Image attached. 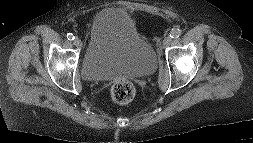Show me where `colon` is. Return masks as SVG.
Returning <instances> with one entry per match:
<instances>
[{
    "label": "colon",
    "mask_w": 253,
    "mask_h": 143,
    "mask_svg": "<svg viewBox=\"0 0 253 143\" xmlns=\"http://www.w3.org/2000/svg\"><path fill=\"white\" fill-rule=\"evenodd\" d=\"M135 96V88L128 80H118L111 85L110 97L119 104L131 102Z\"/></svg>",
    "instance_id": "5ec220e1"
}]
</instances>
